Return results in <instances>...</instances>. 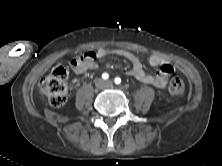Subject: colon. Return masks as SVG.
Instances as JSON below:
<instances>
[{
  "label": "colon",
  "instance_id": "colon-1",
  "mask_svg": "<svg viewBox=\"0 0 222 166\" xmlns=\"http://www.w3.org/2000/svg\"><path fill=\"white\" fill-rule=\"evenodd\" d=\"M40 92L45 95L50 104L55 107L62 106L68 96V71L65 67H55L49 75L39 82ZM186 91V84L180 78H173L169 84L171 95L179 97Z\"/></svg>",
  "mask_w": 222,
  "mask_h": 166
}]
</instances>
